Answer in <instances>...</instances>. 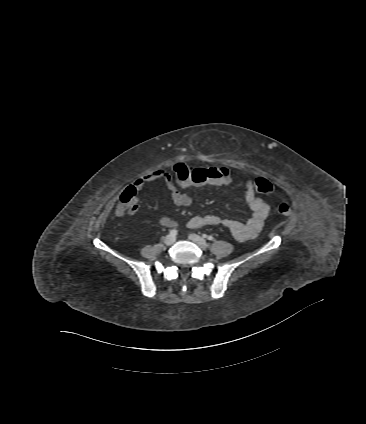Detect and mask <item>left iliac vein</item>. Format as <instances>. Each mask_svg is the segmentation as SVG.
I'll return each instance as SVG.
<instances>
[{"label":"left iliac vein","mask_w":366,"mask_h":424,"mask_svg":"<svg viewBox=\"0 0 366 424\" xmlns=\"http://www.w3.org/2000/svg\"><path fill=\"white\" fill-rule=\"evenodd\" d=\"M189 238L196 243L202 250H206L209 247V244L200 236L196 234H190Z\"/></svg>","instance_id":"4c4485c4"}]
</instances>
